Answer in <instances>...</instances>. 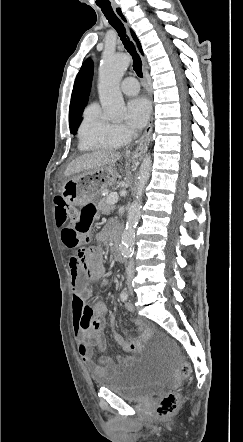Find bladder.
Here are the masks:
<instances>
[{"label":"bladder","mask_w":243,"mask_h":442,"mask_svg":"<svg viewBox=\"0 0 243 442\" xmlns=\"http://www.w3.org/2000/svg\"><path fill=\"white\" fill-rule=\"evenodd\" d=\"M166 376L154 367V361L132 357L120 364L96 385L128 401H142L160 392Z\"/></svg>","instance_id":"31cf9c89"}]
</instances>
